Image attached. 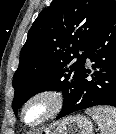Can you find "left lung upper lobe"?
Instances as JSON below:
<instances>
[{
  "mask_svg": "<svg viewBox=\"0 0 116 134\" xmlns=\"http://www.w3.org/2000/svg\"><path fill=\"white\" fill-rule=\"evenodd\" d=\"M114 4V0H53L39 13L13 76L15 115L39 92L61 91L64 104L74 98L88 45Z\"/></svg>",
  "mask_w": 116,
  "mask_h": 134,
  "instance_id": "obj_1",
  "label": "left lung upper lobe"
}]
</instances>
